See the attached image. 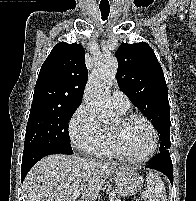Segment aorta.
<instances>
[{
    "instance_id": "obj_1",
    "label": "aorta",
    "mask_w": 196,
    "mask_h": 201,
    "mask_svg": "<svg viewBox=\"0 0 196 201\" xmlns=\"http://www.w3.org/2000/svg\"><path fill=\"white\" fill-rule=\"evenodd\" d=\"M117 68L118 61L113 55L103 57L97 61L86 86L84 100L94 117L103 123L114 120L116 115L110 102V89Z\"/></svg>"
}]
</instances>
